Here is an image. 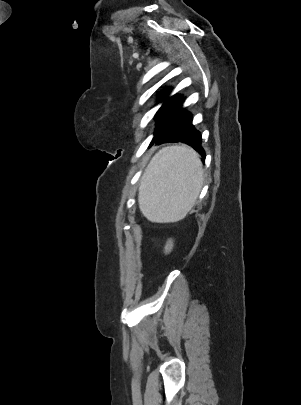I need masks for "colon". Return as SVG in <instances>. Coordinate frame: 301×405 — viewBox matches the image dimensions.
I'll use <instances>...</instances> for the list:
<instances>
[{"instance_id": "5ec220e1", "label": "colon", "mask_w": 301, "mask_h": 405, "mask_svg": "<svg viewBox=\"0 0 301 405\" xmlns=\"http://www.w3.org/2000/svg\"><path fill=\"white\" fill-rule=\"evenodd\" d=\"M173 245H174L173 239L171 237H169L167 239L166 243H165V246H164V254H165V256H169L171 254V252L173 250Z\"/></svg>"}]
</instances>
